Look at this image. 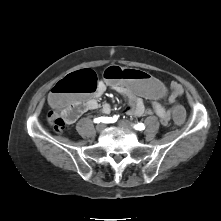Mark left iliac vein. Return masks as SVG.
<instances>
[{
	"label": "left iliac vein",
	"mask_w": 221,
	"mask_h": 221,
	"mask_svg": "<svg viewBox=\"0 0 221 221\" xmlns=\"http://www.w3.org/2000/svg\"><path fill=\"white\" fill-rule=\"evenodd\" d=\"M118 126L122 129H125V130L134 131L133 126L127 120H120L118 122Z\"/></svg>",
	"instance_id": "left-iliac-vein-1"
}]
</instances>
